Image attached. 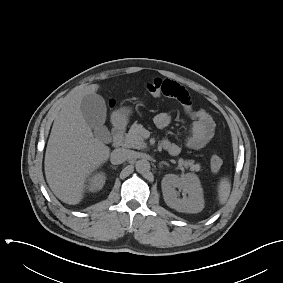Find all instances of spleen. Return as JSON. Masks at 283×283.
I'll list each match as a JSON object with an SVG mask.
<instances>
[{
  "mask_svg": "<svg viewBox=\"0 0 283 283\" xmlns=\"http://www.w3.org/2000/svg\"><path fill=\"white\" fill-rule=\"evenodd\" d=\"M217 190H218L219 203L225 204L229 198L231 191V183L229 181V178L227 177L221 178Z\"/></svg>",
  "mask_w": 283,
  "mask_h": 283,
  "instance_id": "3e777b00",
  "label": "spleen"
}]
</instances>
